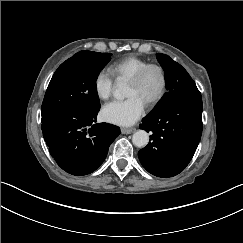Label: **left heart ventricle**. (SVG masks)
Here are the masks:
<instances>
[{
    "label": "left heart ventricle",
    "mask_w": 243,
    "mask_h": 243,
    "mask_svg": "<svg viewBox=\"0 0 243 243\" xmlns=\"http://www.w3.org/2000/svg\"><path fill=\"white\" fill-rule=\"evenodd\" d=\"M162 84L161 73L158 69L152 68L146 72L140 83L133 84L128 81L127 96L137 95L147 104L158 96Z\"/></svg>",
    "instance_id": "left-heart-ventricle-1"
}]
</instances>
